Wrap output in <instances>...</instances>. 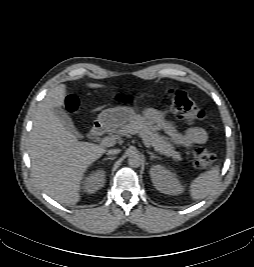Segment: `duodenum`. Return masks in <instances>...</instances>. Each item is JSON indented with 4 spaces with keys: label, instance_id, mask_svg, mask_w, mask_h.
Masks as SVG:
<instances>
[{
    "label": "duodenum",
    "instance_id": "duodenum-1",
    "mask_svg": "<svg viewBox=\"0 0 254 267\" xmlns=\"http://www.w3.org/2000/svg\"><path fill=\"white\" fill-rule=\"evenodd\" d=\"M105 131V126L101 122H96L89 132L91 138H97L101 136Z\"/></svg>",
    "mask_w": 254,
    "mask_h": 267
}]
</instances>
